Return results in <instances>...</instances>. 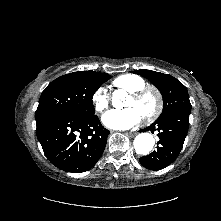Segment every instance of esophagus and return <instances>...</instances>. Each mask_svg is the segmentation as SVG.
<instances>
[{
    "label": "esophagus",
    "mask_w": 221,
    "mask_h": 221,
    "mask_svg": "<svg viewBox=\"0 0 221 221\" xmlns=\"http://www.w3.org/2000/svg\"><path fill=\"white\" fill-rule=\"evenodd\" d=\"M127 134L129 135H134V133L132 131L127 132ZM136 134V133H135Z\"/></svg>",
    "instance_id": "esophagus-1"
}]
</instances>
